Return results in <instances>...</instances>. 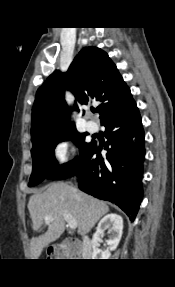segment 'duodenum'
<instances>
[{
  "label": "duodenum",
  "instance_id": "410a0bca",
  "mask_svg": "<svg viewBox=\"0 0 175 287\" xmlns=\"http://www.w3.org/2000/svg\"><path fill=\"white\" fill-rule=\"evenodd\" d=\"M79 252L81 253V255H83L85 257H89L90 256V245H89V239L87 237H84L82 239V245L80 247V251Z\"/></svg>",
  "mask_w": 175,
  "mask_h": 287
}]
</instances>
